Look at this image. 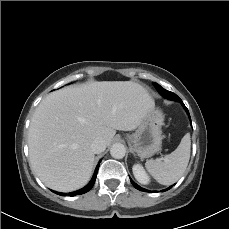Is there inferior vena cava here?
I'll list each match as a JSON object with an SVG mask.
<instances>
[{
    "label": "inferior vena cava",
    "instance_id": "inferior-vena-cava-1",
    "mask_svg": "<svg viewBox=\"0 0 229 229\" xmlns=\"http://www.w3.org/2000/svg\"><path fill=\"white\" fill-rule=\"evenodd\" d=\"M90 147L94 154H99L106 149V143L102 138H96L93 140Z\"/></svg>",
    "mask_w": 229,
    "mask_h": 229
}]
</instances>
